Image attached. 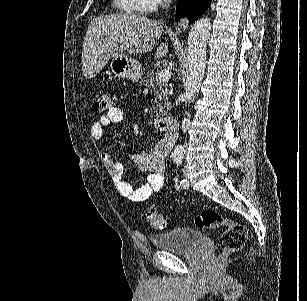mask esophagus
<instances>
[{"mask_svg": "<svg viewBox=\"0 0 307 301\" xmlns=\"http://www.w3.org/2000/svg\"><path fill=\"white\" fill-rule=\"evenodd\" d=\"M187 27H188V19L184 18L177 25V29H176L177 33L183 32L184 30L187 29Z\"/></svg>", "mask_w": 307, "mask_h": 301, "instance_id": "obj_1", "label": "esophagus"}]
</instances>
